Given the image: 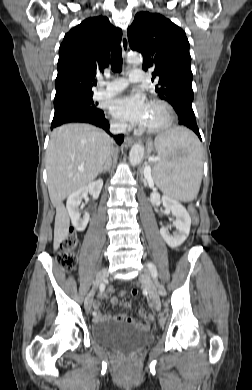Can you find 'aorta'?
I'll list each match as a JSON object with an SVG mask.
<instances>
[{
	"label": "aorta",
	"mask_w": 252,
	"mask_h": 390,
	"mask_svg": "<svg viewBox=\"0 0 252 390\" xmlns=\"http://www.w3.org/2000/svg\"><path fill=\"white\" fill-rule=\"evenodd\" d=\"M127 61L132 64H140L142 62V57L136 53H133L127 57ZM144 155V148L141 144L136 143L132 146L129 153V161L132 166L138 165Z\"/></svg>",
	"instance_id": "762f6f07"
}]
</instances>
